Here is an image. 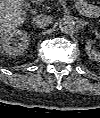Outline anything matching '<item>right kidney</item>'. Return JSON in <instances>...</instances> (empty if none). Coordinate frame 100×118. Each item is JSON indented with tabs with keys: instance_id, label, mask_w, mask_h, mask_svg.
<instances>
[{
	"instance_id": "right-kidney-1",
	"label": "right kidney",
	"mask_w": 100,
	"mask_h": 118,
	"mask_svg": "<svg viewBox=\"0 0 100 118\" xmlns=\"http://www.w3.org/2000/svg\"><path fill=\"white\" fill-rule=\"evenodd\" d=\"M29 42L30 36L26 31L9 30L0 35V50L6 56H15L27 49Z\"/></svg>"
}]
</instances>
